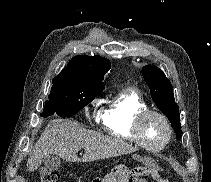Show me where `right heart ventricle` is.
Wrapping results in <instances>:
<instances>
[{"mask_svg":"<svg viewBox=\"0 0 211 182\" xmlns=\"http://www.w3.org/2000/svg\"><path fill=\"white\" fill-rule=\"evenodd\" d=\"M142 96L133 89L119 92L111 99L101 116L103 129L115 138L135 142L133 123L136 115L147 109Z\"/></svg>","mask_w":211,"mask_h":182,"instance_id":"obj_1","label":"right heart ventricle"}]
</instances>
